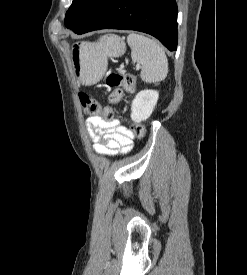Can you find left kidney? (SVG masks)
<instances>
[{
  "label": "left kidney",
  "instance_id": "left-kidney-1",
  "mask_svg": "<svg viewBox=\"0 0 247 275\" xmlns=\"http://www.w3.org/2000/svg\"><path fill=\"white\" fill-rule=\"evenodd\" d=\"M159 93L155 90H142L134 98L131 104V119L141 122L150 117L157 101Z\"/></svg>",
  "mask_w": 247,
  "mask_h": 275
}]
</instances>
